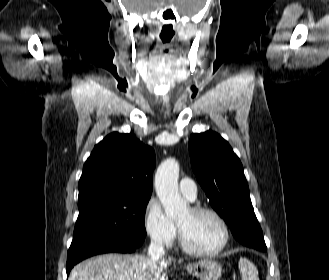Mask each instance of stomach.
Listing matches in <instances>:
<instances>
[{
    "label": "stomach",
    "instance_id": "1",
    "mask_svg": "<svg viewBox=\"0 0 329 280\" xmlns=\"http://www.w3.org/2000/svg\"><path fill=\"white\" fill-rule=\"evenodd\" d=\"M187 272L199 280H219L222 267L214 260L204 259L187 266Z\"/></svg>",
    "mask_w": 329,
    "mask_h": 280
}]
</instances>
